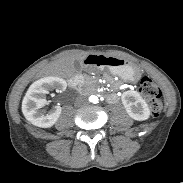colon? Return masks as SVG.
<instances>
[{
    "mask_svg": "<svg viewBox=\"0 0 183 183\" xmlns=\"http://www.w3.org/2000/svg\"><path fill=\"white\" fill-rule=\"evenodd\" d=\"M110 58L93 56L89 63L96 66L109 65ZM140 92L148 99L150 111L153 116H158L163 109L162 91L160 87L149 77H143L140 81Z\"/></svg>",
    "mask_w": 183,
    "mask_h": 183,
    "instance_id": "1",
    "label": "colon"
}]
</instances>
